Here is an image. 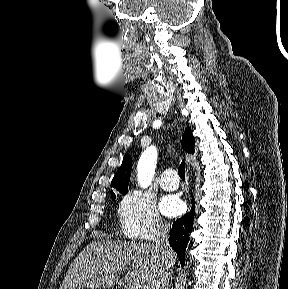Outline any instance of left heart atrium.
I'll use <instances>...</instances> for the list:
<instances>
[{"label": "left heart atrium", "mask_w": 288, "mask_h": 289, "mask_svg": "<svg viewBox=\"0 0 288 289\" xmlns=\"http://www.w3.org/2000/svg\"><path fill=\"white\" fill-rule=\"evenodd\" d=\"M160 209L166 216H176L183 211V203L178 197L167 195L162 199Z\"/></svg>", "instance_id": "left-heart-atrium-1"}]
</instances>
